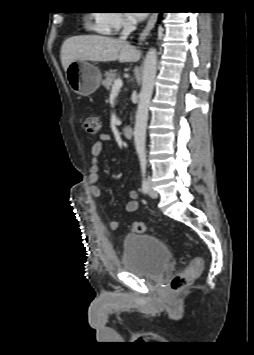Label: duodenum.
<instances>
[{
  "label": "duodenum",
  "mask_w": 254,
  "mask_h": 355,
  "mask_svg": "<svg viewBox=\"0 0 254 355\" xmlns=\"http://www.w3.org/2000/svg\"><path fill=\"white\" fill-rule=\"evenodd\" d=\"M123 134L127 138H131L133 136L134 130L133 127L129 124L123 126Z\"/></svg>",
  "instance_id": "duodenum-1"
}]
</instances>
